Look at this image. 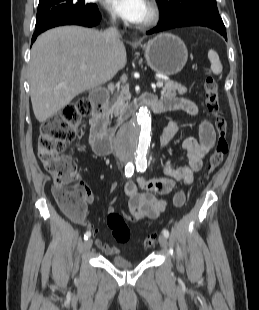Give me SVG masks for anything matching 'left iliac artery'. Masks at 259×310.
Wrapping results in <instances>:
<instances>
[{"label": "left iliac artery", "instance_id": "obj_1", "mask_svg": "<svg viewBox=\"0 0 259 310\" xmlns=\"http://www.w3.org/2000/svg\"><path fill=\"white\" fill-rule=\"evenodd\" d=\"M136 166H137V171L144 172L147 168V162L137 161ZM162 233L166 238L169 237V231L167 229H164Z\"/></svg>", "mask_w": 259, "mask_h": 310}]
</instances>
